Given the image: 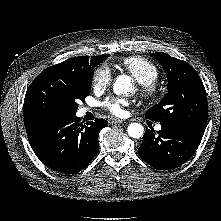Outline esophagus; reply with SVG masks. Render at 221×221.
I'll list each match as a JSON object with an SVG mask.
<instances>
[{"instance_id":"1","label":"esophagus","mask_w":221,"mask_h":221,"mask_svg":"<svg viewBox=\"0 0 221 221\" xmlns=\"http://www.w3.org/2000/svg\"><path fill=\"white\" fill-rule=\"evenodd\" d=\"M125 123H126V121H124V120H116V119H114L110 122V124H112V125H124Z\"/></svg>"}]
</instances>
